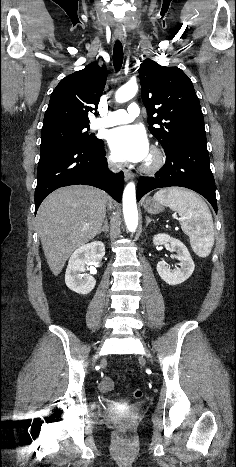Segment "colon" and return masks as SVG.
I'll return each instance as SVG.
<instances>
[{"label":"colon","instance_id":"5ec220e1","mask_svg":"<svg viewBox=\"0 0 236 467\" xmlns=\"http://www.w3.org/2000/svg\"><path fill=\"white\" fill-rule=\"evenodd\" d=\"M133 396L137 399L141 398L143 396V392L141 389H134L133 390Z\"/></svg>","mask_w":236,"mask_h":467}]
</instances>
